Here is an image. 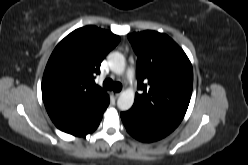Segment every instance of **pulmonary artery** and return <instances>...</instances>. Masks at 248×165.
I'll use <instances>...</instances> for the list:
<instances>
[{
    "instance_id": "e3ab8cb5",
    "label": "pulmonary artery",
    "mask_w": 248,
    "mask_h": 165,
    "mask_svg": "<svg viewBox=\"0 0 248 165\" xmlns=\"http://www.w3.org/2000/svg\"><path fill=\"white\" fill-rule=\"evenodd\" d=\"M128 80L131 85H133L134 87L136 86V77L132 69L128 70Z\"/></svg>"
}]
</instances>
